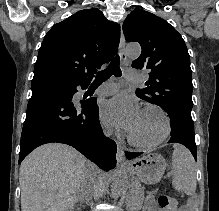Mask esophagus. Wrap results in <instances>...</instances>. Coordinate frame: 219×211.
<instances>
[{
  "mask_svg": "<svg viewBox=\"0 0 219 211\" xmlns=\"http://www.w3.org/2000/svg\"><path fill=\"white\" fill-rule=\"evenodd\" d=\"M119 56L122 64H124L127 60V55L125 52V38L122 30V23H121V33H120V43H119ZM117 163L118 165L128 164V162L125 160L124 150L120 145H118L117 148Z\"/></svg>",
  "mask_w": 219,
  "mask_h": 211,
  "instance_id": "1",
  "label": "esophagus"
}]
</instances>
